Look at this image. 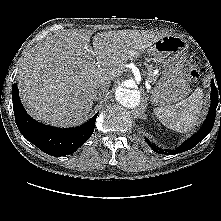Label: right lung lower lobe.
Segmentation results:
<instances>
[{"label":"right lung lower lobe","mask_w":221,"mask_h":221,"mask_svg":"<svg viewBox=\"0 0 221 221\" xmlns=\"http://www.w3.org/2000/svg\"><path fill=\"white\" fill-rule=\"evenodd\" d=\"M15 121L21 134L43 152L52 156L74 153L93 134L97 114L80 127L61 129L37 122L25 111L20 102L18 87L12 89Z\"/></svg>","instance_id":"obj_1"}]
</instances>
